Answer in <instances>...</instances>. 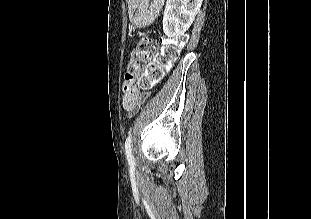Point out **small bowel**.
Listing matches in <instances>:
<instances>
[{"label": "small bowel", "instance_id": "obj_1", "mask_svg": "<svg viewBox=\"0 0 311 219\" xmlns=\"http://www.w3.org/2000/svg\"><path fill=\"white\" fill-rule=\"evenodd\" d=\"M134 82L135 76L133 74L127 73L122 83V106L129 114L136 113L145 99L149 96L148 91H140L135 88ZM152 85L153 84L150 86Z\"/></svg>", "mask_w": 311, "mask_h": 219}]
</instances>
